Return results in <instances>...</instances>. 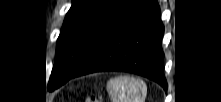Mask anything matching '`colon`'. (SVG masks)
Here are the masks:
<instances>
[{
    "label": "colon",
    "mask_w": 221,
    "mask_h": 102,
    "mask_svg": "<svg viewBox=\"0 0 221 102\" xmlns=\"http://www.w3.org/2000/svg\"><path fill=\"white\" fill-rule=\"evenodd\" d=\"M85 102H101V100L96 95H89Z\"/></svg>",
    "instance_id": "colon-1"
}]
</instances>
